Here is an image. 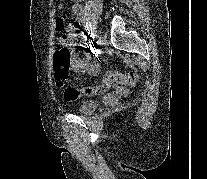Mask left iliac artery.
<instances>
[{"instance_id":"44dca946","label":"left iliac artery","mask_w":207,"mask_h":179,"mask_svg":"<svg viewBox=\"0 0 207 179\" xmlns=\"http://www.w3.org/2000/svg\"><path fill=\"white\" fill-rule=\"evenodd\" d=\"M100 37L95 35L92 39V45L94 46V50H97V46L99 45Z\"/></svg>"}]
</instances>
